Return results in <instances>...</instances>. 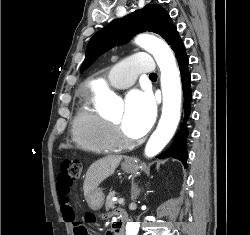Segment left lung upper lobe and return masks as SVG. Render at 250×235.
Returning a JSON list of instances; mask_svg holds the SVG:
<instances>
[{
	"label": "left lung upper lobe",
	"mask_w": 250,
	"mask_h": 235,
	"mask_svg": "<svg viewBox=\"0 0 250 235\" xmlns=\"http://www.w3.org/2000/svg\"><path fill=\"white\" fill-rule=\"evenodd\" d=\"M155 32L169 45L178 34L169 14L157 4H147L144 8L112 21L89 40L85 60L81 70H85L102 53L115 45L128 42L140 32Z\"/></svg>",
	"instance_id": "left-lung-upper-lobe-1"
}]
</instances>
